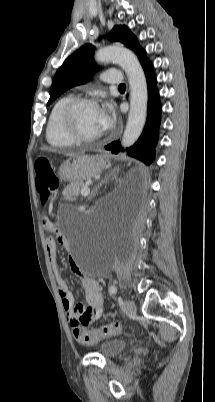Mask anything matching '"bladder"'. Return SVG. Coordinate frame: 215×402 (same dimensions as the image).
<instances>
[{"instance_id": "obj_1", "label": "bladder", "mask_w": 215, "mask_h": 402, "mask_svg": "<svg viewBox=\"0 0 215 402\" xmlns=\"http://www.w3.org/2000/svg\"><path fill=\"white\" fill-rule=\"evenodd\" d=\"M126 346L127 342L124 339L111 338L102 341L98 345V352L105 358H112L121 353Z\"/></svg>"}]
</instances>
